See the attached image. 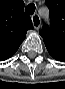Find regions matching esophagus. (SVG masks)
<instances>
[{
  "label": "esophagus",
  "mask_w": 65,
  "mask_h": 89,
  "mask_svg": "<svg viewBox=\"0 0 65 89\" xmlns=\"http://www.w3.org/2000/svg\"><path fill=\"white\" fill-rule=\"evenodd\" d=\"M32 23H33L35 29L38 30L40 28L41 19H40V16L37 13L32 15Z\"/></svg>",
  "instance_id": "esophagus-1"
}]
</instances>
